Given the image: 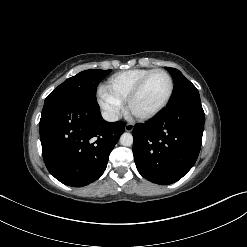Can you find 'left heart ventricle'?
Wrapping results in <instances>:
<instances>
[{
	"instance_id": "1",
	"label": "left heart ventricle",
	"mask_w": 247,
	"mask_h": 247,
	"mask_svg": "<svg viewBox=\"0 0 247 247\" xmlns=\"http://www.w3.org/2000/svg\"><path fill=\"white\" fill-rule=\"evenodd\" d=\"M169 90L168 78L162 73L152 75L142 92L133 103V111L144 114L157 108L165 99Z\"/></svg>"
}]
</instances>
